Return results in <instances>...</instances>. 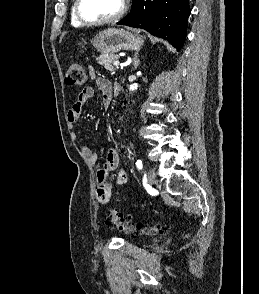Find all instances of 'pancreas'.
<instances>
[{
  "label": "pancreas",
  "instance_id": "cf45deb5",
  "mask_svg": "<svg viewBox=\"0 0 259 294\" xmlns=\"http://www.w3.org/2000/svg\"><path fill=\"white\" fill-rule=\"evenodd\" d=\"M117 60H118V55H114V54L112 55L102 54L99 57H97L98 64H100L106 70L111 72L115 71V67L112 65V63Z\"/></svg>",
  "mask_w": 259,
  "mask_h": 294
}]
</instances>
